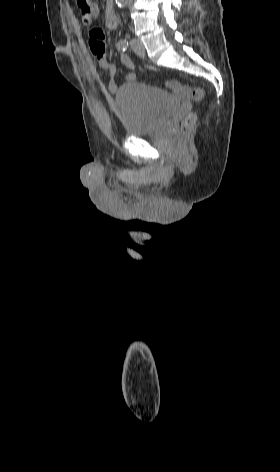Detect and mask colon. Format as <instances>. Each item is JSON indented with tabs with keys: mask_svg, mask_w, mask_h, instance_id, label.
Listing matches in <instances>:
<instances>
[{
	"mask_svg": "<svg viewBox=\"0 0 280 472\" xmlns=\"http://www.w3.org/2000/svg\"><path fill=\"white\" fill-rule=\"evenodd\" d=\"M77 6L80 11L81 19L84 24H90L97 15V7L96 5L92 2V0H77ZM190 94L191 97L195 101H201L203 100L205 96V90L201 86H192L190 87ZM196 121V114L191 112L189 113L183 120L182 126H181V131L182 135H186L193 124Z\"/></svg>",
	"mask_w": 280,
	"mask_h": 472,
	"instance_id": "colon-1",
	"label": "colon"
}]
</instances>
